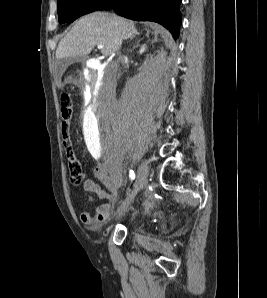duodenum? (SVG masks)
I'll use <instances>...</instances> for the list:
<instances>
[{
	"label": "duodenum",
	"instance_id": "1",
	"mask_svg": "<svg viewBox=\"0 0 267 298\" xmlns=\"http://www.w3.org/2000/svg\"><path fill=\"white\" fill-rule=\"evenodd\" d=\"M101 83L100 82H90L89 84H85L84 88L85 89H92L93 87H100Z\"/></svg>",
	"mask_w": 267,
	"mask_h": 298
}]
</instances>
